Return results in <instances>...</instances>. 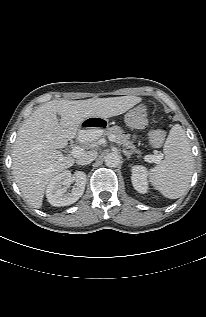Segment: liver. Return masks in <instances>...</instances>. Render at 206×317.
Returning <instances> with one entry per match:
<instances>
[{"mask_svg":"<svg viewBox=\"0 0 206 317\" xmlns=\"http://www.w3.org/2000/svg\"><path fill=\"white\" fill-rule=\"evenodd\" d=\"M141 100L137 96L52 100L33 111L19 129L12 152V173L27 202L41 208L47 184L73 166L75 159L59 150L77 136L85 119L121 115Z\"/></svg>","mask_w":206,"mask_h":317,"instance_id":"liver-1","label":"liver"}]
</instances>
